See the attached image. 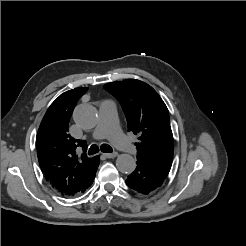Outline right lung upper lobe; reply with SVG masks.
Returning <instances> with one entry per match:
<instances>
[{
  "mask_svg": "<svg viewBox=\"0 0 246 246\" xmlns=\"http://www.w3.org/2000/svg\"><path fill=\"white\" fill-rule=\"evenodd\" d=\"M88 88H75L61 94L48 108L36 137L37 156L46 180L64 196L79 194L94 175L97 156L87 157L86 142L74 139L68 125L77 101ZM82 147L84 153L76 154Z\"/></svg>",
  "mask_w": 246,
  "mask_h": 246,
  "instance_id": "1",
  "label": "right lung upper lobe"
}]
</instances>
